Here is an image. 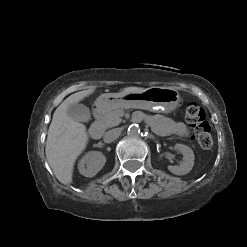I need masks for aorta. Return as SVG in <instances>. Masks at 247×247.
Here are the masks:
<instances>
[{"label": "aorta", "mask_w": 247, "mask_h": 247, "mask_svg": "<svg viewBox=\"0 0 247 247\" xmlns=\"http://www.w3.org/2000/svg\"><path fill=\"white\" fill-rule=\"evenodd\" d=\"M127 134L130 137H137V136H139L140 135V127H139V125L138 124H131L128 127Z\"/></svg>", "instance_id": "762f6f07"}]
</instances>
